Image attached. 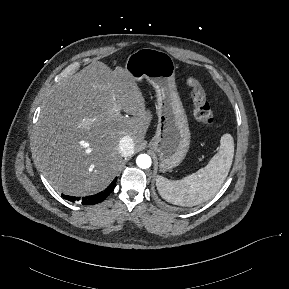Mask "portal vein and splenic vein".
<instances>
[{"label":"portal vein and splenic vein","instance_id":"18ae733b","mask_svg":"<svg viewBox=\"0 0 289 289\" xmlns=\"http://www.w3.org/2000/svg\"><path fill=\"white\" fill-rule=\"evenodd\" d=\"M112 111H113V113H119L120 109L115 106Z\"/></svg>","mask_w":289,"mask_h":289}]
</instances>
